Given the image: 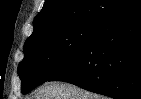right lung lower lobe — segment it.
I'll use <instances>...</instances> for the list:
<instances>
[{"label": "right lung lower lobe", "mask_w": 141, "mask_h": 99, "mask_svg": "<svg viewBox=\"0 0 141 99\" xmlns=\"http://www.w3.org/2000/svg\"><path fill=\"white\" fill-rule=\"evenodd\" d=\"M48 81L114 99H141V0L101 20L85 47Z\"/></svg>", "instance_id": "obj_1"}]
</instances>
